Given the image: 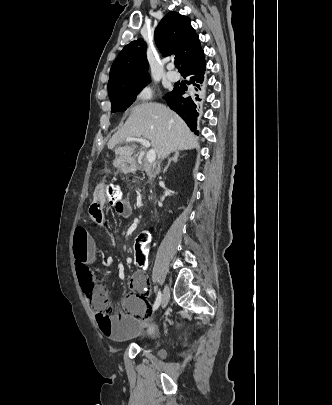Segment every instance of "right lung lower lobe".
I'll return each instance as SVG.
<instances>
[{
    "label": "right lung lower lobe",
    "instance_id": "right-lung-lower-lobe-1",
    "mask_svg": "<svg viewBox=\"0 0 332 405\" xmlns=\"http://www.w3.org/2000/svg\"><path fill=\"white\" fill-rule=\"evenodd\" d=\"M205 59L203 58L199 62L186 68L181 74L188 78V84L192 85L194 92L203 93L204 90V72L206 70ZM187 88L175 87L173 91L169 92L165 96V100L169 107L178 113L192 131L196 130V120L198 116V110L202 103V98L198 94H194L196 97H183ZM198 134V131H195Z\"/></svg>",
    "mask_w": 332,
    "mask_h": 405
}]
</instances>
